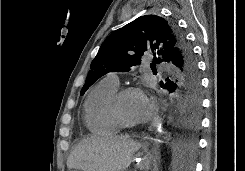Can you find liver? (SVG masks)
Segmentation results:
<instances>
[{"label": "liver", "instance_id": "6515ba94", "mask_svg": "<svg viewBox=\"0 0 245 171\" xmlns=\"http://www.w3.org/2000/svg\"><path fill=\"white\" fill-rule=\"evenodd\" d=\"M141 144L125 136H91L82 140L67 159L69 169L124 171Z\"/></svg>", "mask_w": 245, "mask_h": 171}]
</instances>
